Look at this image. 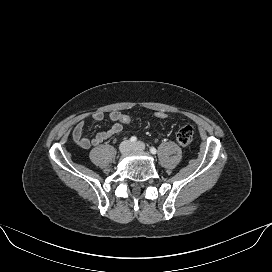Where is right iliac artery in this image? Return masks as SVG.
<instances>
[{"label":"right iliac artery","mask_w":272,"mask_h":272,"mask_svg":"<svg viewBox=\"0 0 272 272\" xmlns=\"http://www.w3.org/2000/svg\"><path fill=\"white\" fill-rule=\"evenodd\" d=\"M130 141H131L132 143H135V142L137 141V137H136V136H132V137L130 138Z\"/></svg>","instance_id":"82829eb1"}]
</instances>
